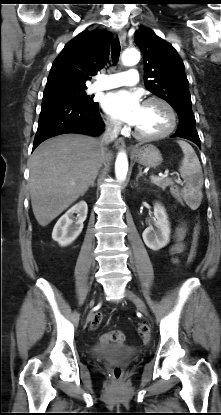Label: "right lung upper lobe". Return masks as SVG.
I'll list each match as a JSON object with an SVG mask.
<instances>
[{"instance_id":"obj_1","label":"right lung upper lobe","mask_w":221,"mask_h":415,"mask_svg":"<svg viewBox=\"0 0 221 415\" xmlns=\"http://www.w3.org/2000/svg\"><path fill=\"white\" fill-rule=\"evenodd\" d=\"M112 38L111 32L95 29L68 42L52 64L44 94L86 88L89 76L106 65Z\"/></svg>"}]
</instances>
